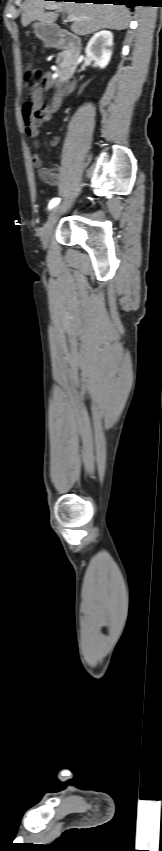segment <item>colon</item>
Listing matches in <instances>:
<instances>
[{
	"label": "colon",
	"instance_id": "5ec220e1",
	"mask_svg": "<svg viewBox=\"0 0 162 851\" xmlns=\"http://www.w3.org/2000/svg\"><path fill=\"white\" fill-rule=\"evenodd\" d=\"M42 72L31 65H28L23 73V81L28 90H35L43 81Z\"/></svg>",
	"mask_w": 162,
	"mask_h": 851
}]
</instances>
